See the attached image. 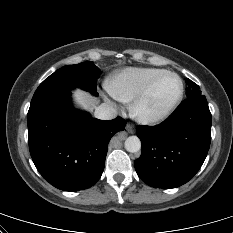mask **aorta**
<instances>
[{"label":"aorta","instance_id":"aorta-1","mask_svg":"<svg viewBox=\"0 0 233 233\" xmlns=\"http://www.w3.org/2000/svg\"><path fill=\"white\" fill-rule=\"evenodd\" d=\"M124 147L128 152H138L141 149V141L137 136H130L125 140Z\"/></svg>","mask_w":233,"mask_h":233}]
</instances>
